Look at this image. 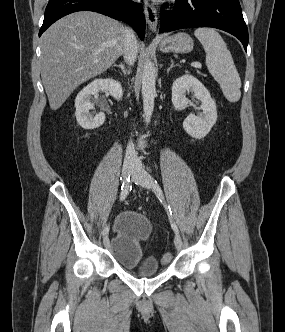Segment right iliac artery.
<instances>
[{
  "mask_svg": "<svg viewBox=\"0 0 285 332\" xmlns=\"http://www.w3.org/2000/svg\"><path fill=\"white\" fill-rule=\"evenodd\" d=\"M131 182H132V180H131L130 176H128L127 179L123 182V184L121 186V193H120L121 201H123L127 197L129 191L131 190ZM108 232H109V225H107L103 229L102 234L106 235Z\"/></svg>",
  "mask_w": 285,
  "mask_h": 332,
  "instance_id": "82829eb1",
  "label": "right iliac artery"
}]
</instances>
